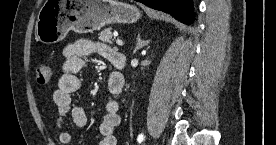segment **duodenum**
Masks as SVG:
<instances>
[{
  "label": "duodenum",
  "instance_id": "duodenum-1",
  "mask_svg": "<svg viewBox=\"0 0 276 145\" xmlns=\"http://www.w3.org/2000/svg\"><path fill=\"white\" fill-rule=\"evenodd\" d=\"M126 55L123 53L116 52L114 56L111 58L112 64L115 66L117 71L111 77L109 85L110 88L116 91H121L125 85V78L121 72V70L126 65Z\"/></svg>",
  "mask_w": 276,
  "mask_h": 145
}]
</instances>
